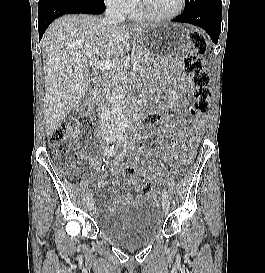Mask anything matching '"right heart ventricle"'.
I'll return each instance as SVG.
<instances>
[{"mask_svg": "<svg viewBox=\"0 0 265 273\" xmlns=\"http://www.w3.org/2000/svg\"><path fill=\"white\" fill-rule=\"evenodd\" d=\"M131 16L136 18V19H145V17L143 16L140 7H135L131 12H130Z\"/></svg>", "mask_w": 265, "mask_h": 273, "instance_id": "1", "label": "right heart ventricle"}]
</instances>
